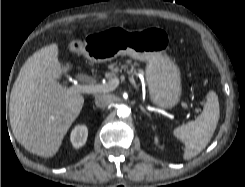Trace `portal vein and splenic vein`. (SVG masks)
Segmentation results:
<instances>
[{
    "label": "portal vein and splenic vein",
    "instance_id": "18ae733b",
    "mask_svg": "<svg viewBox=\"0 0 245 187\" xmlns=\"http://www.w3.org/2000/svg\"><path fill=\"white\" fill-rule=\"evenodd\" d=\"M121 81L125 80V76H121L120 79L118 77H115L111 79L109 82L104 83V84H95V85H79L75 84L72 86V90L78 93H97V92H110L115 90L119 83ZM129 82L137 89L136 82L133 78V76L128 77ZM183 108L190 110L191 108L185 104L182 103Z\"/></svg>",
    "mask_w": 245,
    "mask_h": 187
}]
</instances>
